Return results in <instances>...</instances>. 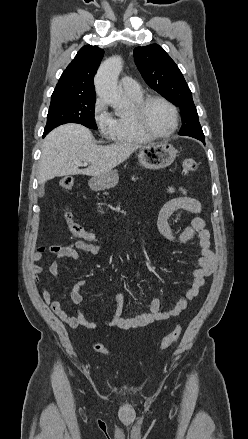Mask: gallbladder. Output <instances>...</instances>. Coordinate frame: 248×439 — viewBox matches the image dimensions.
Segmentation results:
<instances>
[{"mask_svg":"<svg viewBox=\"0 0 248 439\" xmlns=\"http://www.w3.org/2000/svg\"><path fill=\"white\" fill-rule=\"evenodd\" d=\"M44 194V185H40L39 189H38V195L41 197Z\"/></svg>","mask_w":248,"mask_h":439,"instance_id":"bac80fb5","label":"gallbladder"}]
</instances>
